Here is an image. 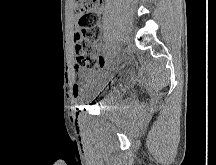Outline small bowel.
<instances>
[{"label": "small bowel", "mask_w": 216, "mask_h": 165, "mask_svg": "<svg viewBox=\"0 0 216 165\" xmlns=\"http://www.w3.org/2000/svg\"><path fill=\"white\" fill-rule=\"evenodd\" d=\"M103 11V7H99L97 9V14H101ZM84 81H85V87L84 88H80V87H76L74 90H73V96L75 98H77L82 92H84L86 90V88L90 87L91 85V82H90V78L88 76H84Z\"/></svg>", "instance_id": "c3829d8e"}]
</instances>
